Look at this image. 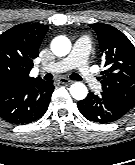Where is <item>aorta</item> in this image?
<instances>
[{"label": "aorta", "instance_id": "762f6f07", "mask_svg": "<svg viewBox=\"0 0 135 165\" xmlns=\"http://www.w3.org/2000/svg\"><path fill=\"white\" fill-rule=\"evenodd\" d=\"M51 50L56 56H66L71 50V42L66 37H57L51 44ZM70 94L76 100H83L88 94L87 87L81 82L70 86Z\"/></svg>", "mask_w": 135, "mask_h": 165}]
</instances>
